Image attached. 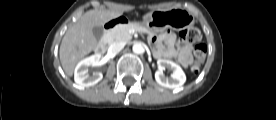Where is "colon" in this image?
<instances>
[{"instance_id":"obj_1","label":"colon","mask_w":276,"mask_h":120,"mask_svg":"<svg viewBox=\"0 0 276 120\" xmlns=\"http://www.w3.org/2000/svg\"><path fill=\"white\" fill-rule=\"evenodd\" d=\"M180 39L189 44H194L193 47V65L192 71L198 72L205 60L207 48L205 44L201 42L202 35L199 29L191 27L185 31L180 32Z\"/></svg>"}]
</instances>
